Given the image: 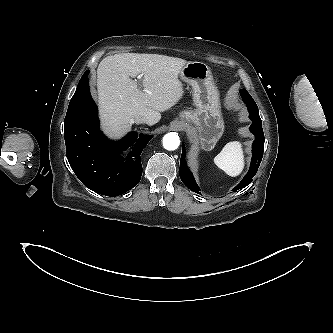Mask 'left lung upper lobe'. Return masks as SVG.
<instances>
[{
  "instance_id": "obj_1",
  "label": "left lung upper lobe",
  "mask_w": 333,
  "mask_h": 333,
  "mask_svg": "<svg viewBox=\"0 0 333 333\" xmlns=\"http://www.w3.org/2000/svg\"><path fill=\"white\" fill-rule=\"evenodd\" d=\"M240 93L243 95H249V93L245 89L240 90Z\"/></svg>"
}]
</instances>
